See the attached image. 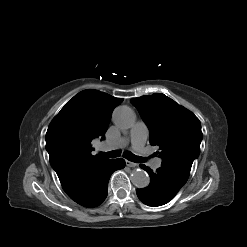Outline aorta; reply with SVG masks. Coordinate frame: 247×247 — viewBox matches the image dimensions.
I'll list each match as a JSON object with an SVG mask.
<instances>
[{
    "instance_id": "762f6f07",
    "label": "aorta",
    "mask_w": 247,
    "mask_h": 247,
    "mask_svg": "<svg viewBox=\"0 0 247 247\" xmlns=\"http://www.w3.org/2000/svg\"><path fill=\"white\" fill-rule=\"evenodd\" d=\"M112 120L119 129L125 130L131 128L134 125L136 115L130 107L119 106L114 110ZM130 179L133 185H135L137 188H144L148 186L150 182L148 174L142 169L134 170L131 173Z\"/></svg>"
}]
</instances>
